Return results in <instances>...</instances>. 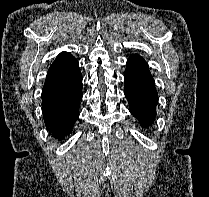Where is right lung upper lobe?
<instances>
[{"instance_id": "obj_1", "label": "right lung upper lobe", "mask_w": 209, "mask_h": 197, "mask_svg": "<svg viewBox=\"0 0 209 197\" xmlns=\"http://www.w3.org/2000/svg\"><path fill=\"white\" fill-rule=\"evenodd\" d=\"M67 54H68L67 52H62V53H60V54L57 56V58H56V60L54 61V63H56L57 61H59L60 59H62L63 57H65ZM54 63H53V64H54Z\"/></svg>"}]
</instances>
